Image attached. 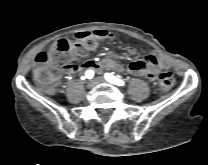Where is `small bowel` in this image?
Here are the masks:
<instances>
[{
    "mask_svg": "<svg viewBox=\"0 0 208 165\" xmlns=\"http://www.w3.org/2000/svg\"><path fill=\"white\" fill-rule=\"evenodd\" d=\"M100 39H110L114 34L106 29H98L93 32ZM126 50L130 54H135V49L127 47ZM169 61L158 55L156 51H150L145 59L131 62L127 70L129 73L144 77L148 80H154L156 73L169 66ZM100 68H109L115 70H122V65L117 62L112 53H108L101 61L100 65L94 60H88L82 65L79 63L65 62L61 66V71L67 75H75L81 73L82 70H95Z\"/></svg>",
    "mask_w": 208,
    "mask_h": 165,
    "instance_id": "small-bowel-1",
    "label": "small bowel"
}]
</instances>
